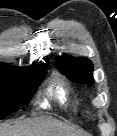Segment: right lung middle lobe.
I'll return each mask as SVG.
<instances>
[{"label":"right lung middle lobe","mask_w":117,"mask_h":136,"mask_svg":"<svg viewBox=\"0 0 117 136\" xmlns=\"http://www.w3.org/2000/svg\"><path fill=\"white\" fill-rule=\"evenodd\" d=\"M48 61L29 68L0 64V119L27 105L46 76Z\"/></svg>","instance_id":"right-lung-middle-lobe-1"}]
</instances>
